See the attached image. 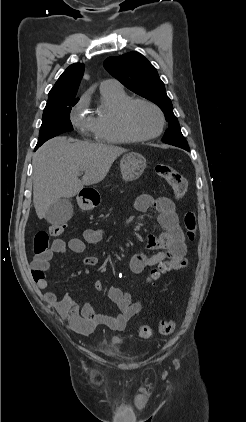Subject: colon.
<instances>
[{"mask_svg":"<svg viewBox=\"0 0 246 422\" xmlns=\"http://www.w3.org/2000/svg\"><path fill=\"white\" fill-rule=\"evenodd\" d=\"M155 173L168 183L176 197L181 198L185 195L187 191V180L179 171L168 164H157L155 166ZM183 224L188 240L193 241L196 237L197 230L195 212H186L183 217ZM63 232L64 226L59 224L51 225L47 231L37 232L33 242V249L36 257L43 256L49 250V236L56 237ZM186 264L187 260L185 258L165 261L151 270L149 278L150 280H156L167 272L184 268ZM31 273L33 279H38L43 275V272L36 268H33ZM175 326L176 323L174 320L161 319L158 322V332L163 335L171 334L174 331ZM153 333V329L147 325H142L138 329V335L142 339L152 338Z\"/></svg>","mask_w":246,"mask_h":422,"instance_id":"colon-1","label":"colon"}]
</instances>
